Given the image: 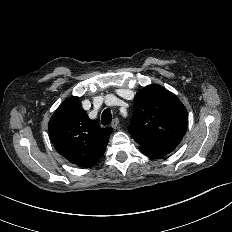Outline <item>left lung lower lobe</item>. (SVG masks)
<instances>
[{
    "instance_id": "obj_1",
    "label": "left lung lower lobe",
    "mask_w": 232,
    "mask_h": 232,
    "mask_svg": "<svg viewBox=\"0 0 232 232\" xmlns=\"http://www.w3.org/2000/svg\"><path fill=\"white\" fill-rule=\"evenodd\" d=\"M176 146H164L159 148H144L139 147L140 151L150 157L153 158H161L169 153H171Z\"/></svg>"
}]
</instances>
